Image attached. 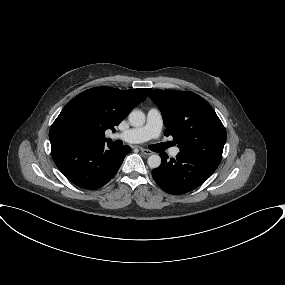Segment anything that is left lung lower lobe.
<instances>
[{
	"mask_svg": "<svg viewBox=\"0 0 285 285\" xmlns=\"http://www.w3.org/2000/svg\"><path fill=\"white\" fill-rule=\"evenodd\" d=\"M162 164L152 171L156 183L170 194H184L203 184L219 163L207 158L179 152L176 159L160 154Z\"/></svg>",
	"mask_w": 285,
	"mask_h": 285,
	"instance_id": "left-lung-lower-lobe-1",
	"label": "left lung lower lobe"
}]
</instances>
